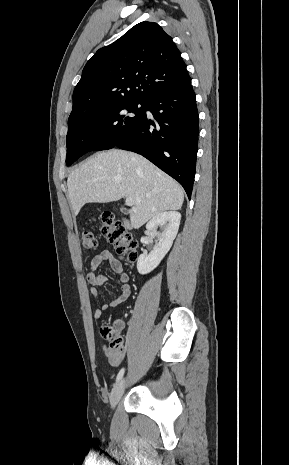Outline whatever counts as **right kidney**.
Wrapping results in <instances>:
<instances>
[{
	"label": "right kidney",
	"instance_id": "right-kidney-1",
	"mask_svg": "<svg viewBox=\"0 0 289 465\" xmlns=\"http://www.w3.org/2000/svg\"><path fill=\"white\" fill-rule=\"evenodd\" d=\"M181 220V214L176 211H165L156 214L147 224L146 229L156 233V229L161 227L163 232L159 236L158 243L154 246L153 251L148 255L141 254L137 260V270L144 275L154 270L170 250L173 241L178 233ZM141 243L148 244L145 237L141 238Z\"/></svg>",
	"mask_w": 289,
	"mask_h": 465
}]
</instances>
